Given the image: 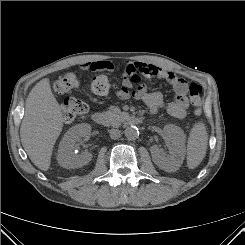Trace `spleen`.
<instances>
[{
  "mask_svg": "<svg viewBox=\"0 0 245 245\" xmlns=\"http://www.w3.org/2000/svg\"><path fill=\"white\" fill-rule=\"evenodd\" d=\"M208 135L206 127L199 122L190 131L187 146V165L190 169L195 168L203 160L207 149Z\"/></svg>",
  "mask_w": 245,
  "mask_h": 245,
  "instance_id": "1",
  "label": "spleen"
}]
</instances>
